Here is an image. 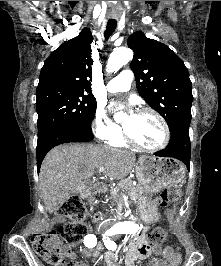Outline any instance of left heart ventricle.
Instances as JSON below:
<instances>
[{
  "instance_id": "left-heart-ventricle-1",
  "label": "left heart ventricle",
  "mask_w": 221,
  "mask_h": 266,
  "mask_svg": "<svg viewBox=\"0 0 221 266\" xmlns=\"http://www.w3.org/2000/svg\"><path fill=\"white\" fill-rule=\"evenodd\" d=\"M122 124L130 135L143 146L153 147L162 140V127L159 121L151 114L137 113L127 115Z\"/></svg>"
}]
</instances>
